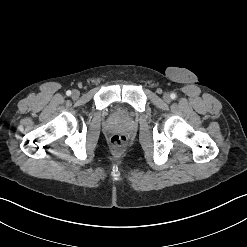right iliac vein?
<instances>
[{
  "label": "right iliac vein",
  "mask_w": 247,
  "mask_h": 247,
  "mask_svg": "<svg viewBox=\"0 0 247 247\" xmlns=\"http://www.w3.org/2000/svg\"><path fill=\"white\" fill-rule=\"evenodd\" d=\"M80 96V91L79 90H73V92H72V97L74 98V99H77L78 97Z\"/></svg>",
  "instance_id": "right-iliac-vein-1"
}]
</instances>
